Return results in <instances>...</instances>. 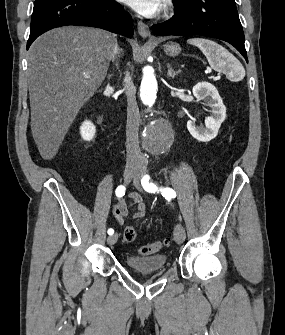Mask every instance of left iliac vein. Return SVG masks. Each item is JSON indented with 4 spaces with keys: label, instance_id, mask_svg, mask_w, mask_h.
Listing matches in <instances>:
<instances>
[{
    "label": "left iliac vein",
    "instance_id": "1",
    "mask_svg": "<svg viewBox=\"0 0 285 335\" xmlns=\"http://www.w3.org/2000/svg\"><path fill=\"white\" fill-rule=\"evenodd\" d=\"M140 175L138 174L137 177L133 178V183L135 187L139 190L142 191V186L140 184ZM186 234H185V229L181 223H178L174 229V239L177 243H183L185 240Z\"/></svg>",
    "mask_w": 285,
    "mask_h": 335
}]
</instances>
